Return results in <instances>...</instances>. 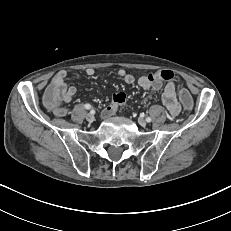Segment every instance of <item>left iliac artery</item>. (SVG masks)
Instances as JSON below:
<instances>
[{
	"mask_svg": "<svg viewBox=\"0 0 231 231\" xmlns=\"http://www.w3.org/2000/svg\"><path fill=\"white\" fill-rule=\"evenodd\" d=\"M146 121L149 123V122H151V118L150 117H147L146 118Z\"/></svg>",
	"mask_w": 231,
	"mask_h": 231,
	"instance_id": "1",
	"label": "left iliac artery"
}]
</instances>
